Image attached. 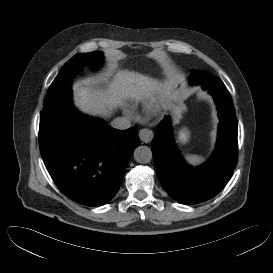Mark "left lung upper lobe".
<instances>
[{"label":"left lung upper lobe","instance_id":"obj_1","mask_svg":"<svg viewBox=\"0 0 273 273\" xmlns=\"http://www.w3.org/2000/svg\"><path fill=\"white\" fill-rule=\"evenodd\" d=\"M197 77H198L197 71L192 72L189 76L190 84H195L197 81Z\"/></svg>","mask_w":273,"mask_h":273}]
</instances>
